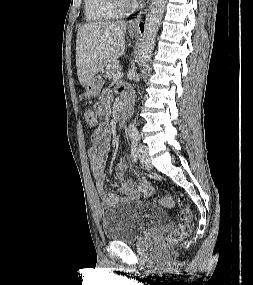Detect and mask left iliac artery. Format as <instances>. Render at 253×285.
<instances>
[{"label":"left iliac artery","mask_w":253,"mask_h":285,"mask_svg":"<svg viewBox=\"0 0 253 285\" xmlns=\"http://www.w3.org/2000/svg\"><path fill=\"white\" fill-rule=\"evenodd\" d=\"M132 138L135 140V141H138L139 140V134L138 133H135L132 135Z\"/></svg>","instance_id":"obj_1"}]
</instances>
